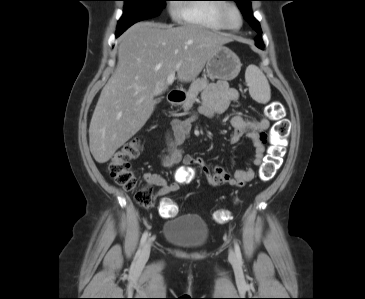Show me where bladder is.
<instances>
[{"label": "bladder", "mask_w": 365, "mask_h": 299, "mask_svg": "<svg viewBox=\"0 0 365 299\" xmlns=\"http://www.w3.org/2000/svg\"><path fill=\"white\" fill-rule=\"evenodd\" d=\"M206 222L196 214H183L167 221L163 228V239L168 244L184 250L202 248L209 240Z\"/></svg>", "instance_id": "bladder-1"}]
</instances>
